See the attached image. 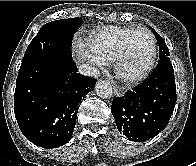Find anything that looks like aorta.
<instances>
[{
	"instance_id": "obj_1",
	"label": "aorta",
	"mask_w": 196,
	"mask_h": 166,
	"mask_svg": "<svg viewBox=\"0 0 196 166\" xmlns=\"http://www.w3.org/2000/svg\"><path fill=\"white\" fill-rule=\"evenodd\" d=\"M95 92L102 99H110L113 94L110 83L102 80L96 83Z\"/></svg>"
}]
</instances>
